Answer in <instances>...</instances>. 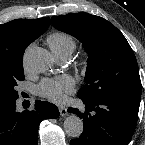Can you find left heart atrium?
<instances>
[{
	"label": "left heart atrium",
	"mask_w": 145,
	"mask_h": 145,
	"mask_svg": "<svg viewBox=\"0 0 145 145\" xmlns=\"http://www.w3.org/2000/svg\"><path fill=\"white\" fill-rule=\"evenodd\" d=\"M75 82L72 77L63 75L54 79H44L37 87L38 95L54 102H62L66 93L73 91Z\"/></svg>",
	"instance_id": "1"
}]
</instances>
